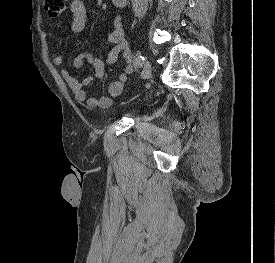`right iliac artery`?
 <instances>
[{
	"label": "right iliac artery",
	"instance_id": "82829eb1",
	"mask_svg": "<svg viewBox=\"0 0 275 263\" xmlns=\"http://www.w3.org/2000/svg\"><path fill=\"white\" fill-rule=\"evenodd\" d=\"M144 61H145V59L142 56V54L138 53L134 64H135L136 67H141L144 64Z\"/></svg>",
	"mask_w": 275,
	"mask_h": 263
}]
</instances>
